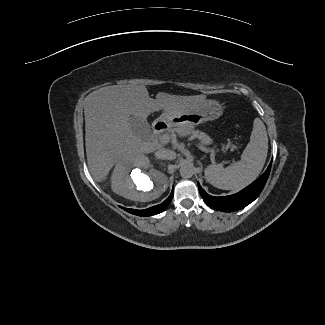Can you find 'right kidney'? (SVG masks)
Returning a JSON list of instances; mask_svg holds the SVG:
<instances>
[{"mask_svg":"<svg viewBox=\"0 0 325 325\" xmlns=\"http://www.w3.org/2000/svg\"><path fill=\"white\" fill-rule=\"evenodd\" d=\"M167 186V176L153 169L146 157L118 163L111 177L112 190L133 201H152L160 197Z\"/></svg>","mask_w":325,"mask_h":325,"instance_id":"obj_1","label":"right kidney"}]
</instances>
